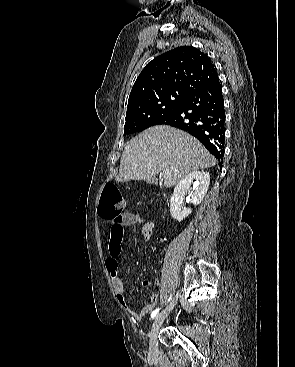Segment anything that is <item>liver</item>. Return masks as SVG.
<instances>
[{
	"mask_svg": "<svg viewBox=\"0 0 295 367\" xmlns=\"http://www.w3.org/2000/svg\"><path fill=\"white\" fill-rule=\"evenodd\" d=\"M215 164L216 159L191 135L170 126H154L127 142L115 179L147 181L168 170L163 175L168 188L190 172Z\"/></svg>",
	"mask_w": 295,
	"mask_h": 367,
	"instance_id": "liver-1",
	"label": "liver"
}]
</instances>
